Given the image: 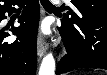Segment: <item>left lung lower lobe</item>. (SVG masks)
Returning a JSON list of instances; mask_svg holds the SVG:
<instances>
[{
  "label": "left lung lower lobe",
  "instance_id": "obj_1",
  "mask_svg": "<svg viewBox=\"0 0 107 75\" xmlns=\"http://www.w3.org/2000/svg\"><path fill=\"white\" fill-rule=\"evenodd\" d=\"M71 2L74 6L78 5L76 0ZM79 30L83 38L61 22L59 32L68 54L59 61L57 75L76 68L107 69V15L84 17ZM85 40L91 46L88 53L84 48L88 46L83 43Z\"/></svg>",
  "mask_w": 107,
  "mask_h": 75
}]
</instances>
